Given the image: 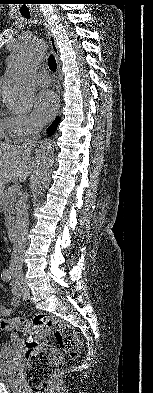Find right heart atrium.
<instances>
[{"label":"right heart atrium","instance_id":"1","mask_svg":"<svg viewBox=\"0 0 153 393\" xmlns=\"http://www.w3.org/2000/svg\"><path fill=\"white\" fill-rule=\"evenodd\" d=\"M9 118L10 136L12 138H22L33 135L40 130V125L30 114H15Z\"/></svg>","mask_w":153,"mask_h":393}]
</instances>
